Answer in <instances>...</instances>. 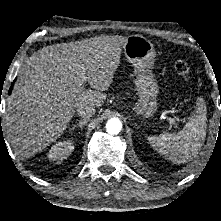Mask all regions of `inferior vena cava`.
I'll list each match as a JSON object with an SVG mask.
<instances>
[{"instance_id":"inferior-vena-cava-1","label":"inferior vena cava","mask_w":221,"mask_h":221,"mask_svg":"<svg viewBox=\"0 0 221 221\" xmlns=\"http://www.w3.org/2000/svg\"><path fill=\"white\" fill-rule=\"evenodd\" d=\"M76 111L78 116L87 120L95 114V107L92 105H82Z\"/></svg>"}]
</instances>
